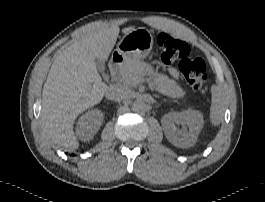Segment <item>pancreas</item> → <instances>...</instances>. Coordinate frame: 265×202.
<instances>
[{
  "mask_svg": "<svg viewBox=\"0 0 265 202\" xmlns=\"http://www.w3.org/2000/svg\"><path fill=\"white\" fill-rule=\"evenodd\" d=\"M146 70V63L140 60H129L120 69L119 77L125 85L134 87L142 81ZM153 80L159 91L166 93L172 98H183L186 94L176 81L166 75L154 73Z\"/></svg>",
  "mask_w": 265,
  "mask_h": 202,
  "instance_id": "pancreas-1",
  "label": "pancreas"
}]
</instances>
